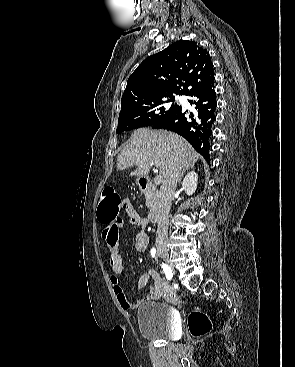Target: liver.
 <instances>
[{
    "mask_svg": "<svg viewBox=\"0 0 295 367\" xmlns=\"http://www.w3.org/2000/svg\"><path fill=\"white\" fill-rule=\"evenodd\" d=\"M199 154L181 136L163 130L147 128L136 130L117 158V170L130 166L137 169L131 176H147L152 165L159 168V175L165 179L172 167L181 168L194 164Z\"/></svg>",
    "mask_w": 295,
    "mask_h": 367,
    "instance_id": "obj_1",
    "label": "liver"
}]
</instances>
